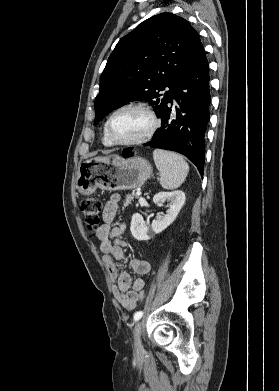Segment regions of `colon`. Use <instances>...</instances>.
<instances>
[{
    "instance_id": "1",
    "label": "colon",
    "mask_w": 279,
    "mask_h": 391,
    "mask_svg": "<svg viewBox=\"0 0 279 391\" xmlns=\"http://www.w3.org/2000/svg\"><path fill=\"white\" fill-rule=\"evenodd\" d=\"M103 203L97 198L88 197L81 202V211L84 216V221L91 233H96L101 224ZM145 297V291L142 289L138 293L139 301Z\"/></svg>"
}]
</instances>
